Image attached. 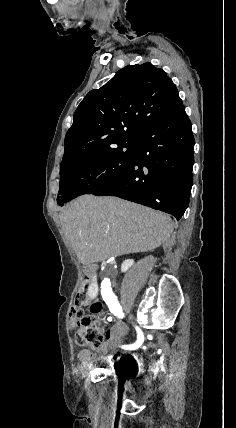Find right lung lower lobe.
Wrapping results in <instances>:
<instances>
[{
  "label": "right lung lower lobe",
  "instance_id": "right-lung-lower-lobe-1",
  "mask_svg": "<svg viewBox=\"0 0 236 428\" xmlns=\"http://www.w3.org/2000/svg\"><path fill=\"white\" fill-rule=\"evenodd\" d=\"M134 154L128 168L93 194L117 196L179 220L189 205L194 163V137L183 104L136 137Z\"/></svg>",
  "mask_w": 236,
  "mask_h": 428
}]
</instances>
